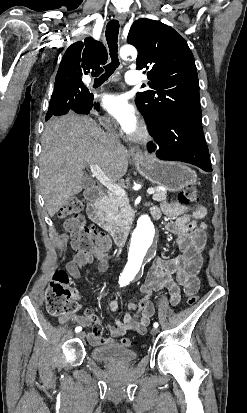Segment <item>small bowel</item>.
I'll use <instances>...</instances> for the list:
<instances>
[{
  "instance_id": "obj_1",
  "label": "small bowel",
  "mask_w": 247,
  "mask_h": 413,
  "mask_svg": "<svg viewBox=\"0 0 247 413\" xmlns=\"http://www.w3.org/2000/svg\"><path fill=\"white\" fill-rule=\"evenodd\" d=\"M164 213L171 221L168 230L178 237L182 254L178 257L165 260L157 257L147 271L144 281L140 285V292L145 297L139 302L129 303L123 319H115L114 324L108 326L110 337L104 339L101 336V328L96 326L87 334L90 345L97 347L107 344L109 349L118 347L117 338L122 337L127 331L137 334H145L150 319L154 314V306L150 300L153 292H159L166 288L169 292V302L172 306L180 302V286H186L183 296L185 299H194L200 287L198 280H189L195 277L202 265V251L206 244V224L202 221L205 210L201 206H189L187 204L162 203L160 206L151 208V215L158 219ZM107 251V250H106ZM106 251H95L92 253L77 252L71 260L66 263V269L70 276L77 280L81 277V270L89 263L95 262L99 272L108 269ZM77 300L81 296L73 291ZM110 312L115 313L118 303L112 300L108 304ZM138 309V311H136ZM97 321L95 310L85 309L83 315H63L59 317L61 324L75 323L79 327H86ZM100 331V333H98Z\"/></svg>"
}]
</instances>
